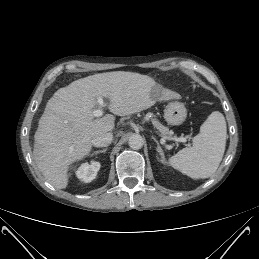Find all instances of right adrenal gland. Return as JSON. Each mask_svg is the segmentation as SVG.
<instances>
[{
	"label": "right adrenal gland",
	"instance_id": "obj_1",
	"mask_svg": "<svg viewBox=\"0 0 259 259\" xmlns=\"http://www.w3.org/2000/svg\"><path fill=\"white\" fill-rule=\"evenodd\" d=\"M106 151H107V148H105V149H103V150H97V151H94V152L91 154V156L96 155V154H98V153H105Z\"/></svg>",
	"mask_w": 259,
	"mask_h": 259
}]
</instances>
